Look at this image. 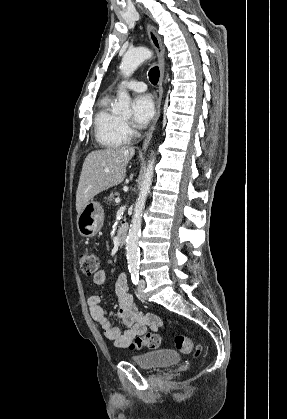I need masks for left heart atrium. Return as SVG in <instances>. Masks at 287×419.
<instances>
[{
    "label": "left heart atrium",
    "mask_w": 287,
    "mask_h": 419,
    "mask_svg": "<svg viewBox=\"0 0 287 419\" xmlns=\"http://www.w3.org/2000/svg\"><path fill=\"white\" fill-rule=\"evenodd\" d=\"M155 113V104L151 95L140 94L132 102V119L137 127H144Z\"/></svg>",
    "instance_id": "obj_1"
}]
</instances>
